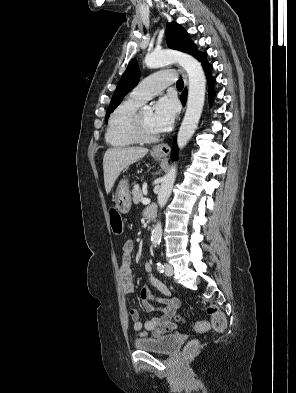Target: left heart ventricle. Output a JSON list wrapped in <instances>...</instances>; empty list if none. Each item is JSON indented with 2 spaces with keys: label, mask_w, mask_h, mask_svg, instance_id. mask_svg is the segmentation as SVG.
<instances>
[{
  "label": "left heart ventricle",
  "mask_w": 296,
  "mask_h": 393,
  "mask_svg": "<svg viewBox=\"0 0 296 393\" xmlns=\"http://www.w3.org/2000/svg\"><path fill=\"white\" fill-rule=\"evenodd\" d=\"M140 115L146 130L151 134H156L157 132L152 127V112H141Z\"/></svg>",
  "instance_id": "obj_1"
}]
</instances>
